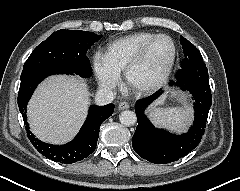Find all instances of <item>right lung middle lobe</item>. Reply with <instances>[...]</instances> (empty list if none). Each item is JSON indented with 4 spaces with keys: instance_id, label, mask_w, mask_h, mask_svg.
Listing matches in <instances>:
<instances>
[{
    "instance_id": "obj_1",
    "label": "right lung middle lobe",
    "mask_w": 240,
    "mask_h": 191,
    "mask_svg": "<svg viewBox=\"0 0 240 191\" xmlns=\"http://www.w3.org/2000/svg\"><path fill=\"white\" fill-rule=\"evenodd\" d=\"M101 37L87 31L58 30L35 48L22 72L57 68L88 78L92 68L86 52Z\"/></svg>"
}]
</instances>
